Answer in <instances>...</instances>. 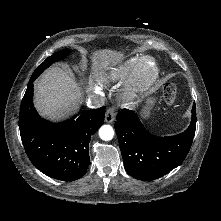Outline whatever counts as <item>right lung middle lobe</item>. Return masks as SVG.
I'll list each match as a JSON object with an SVG mask.
<instances>
[{"label": "right lung middle lobe", "mask_w": 221, "mask_h": 221, "mask_svg": "<svg viewBox=\"0 0 221 221\" xmlns=\"http://www.w3.org/2000/svg\"><path fill=\"white\" fill-rule=\"evenodd\" d=\"M69 53L68 49H64L54 53L52 56L48 57L33 73L30 78V81L35 80L47 67H49L52 63L65 58Z\"/></svg>", "instance_id": "1"}]
</instances>
